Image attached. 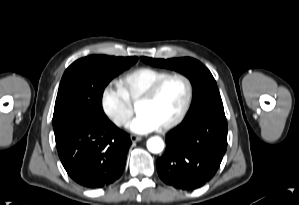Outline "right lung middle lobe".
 Masks as SVG:
<instances>
[{"label": "right lung middle lobe", "instance_id": "right-lung-middle-lobe-1", "mask_svg": "<svg viewBox=\"0 0 299 205\" xmlns=\"http://www.w3.org/2000/svg\"><path fill=\"white\" fill-rule=\"evenodd\" d=\"M134 63L123 57L91 55L71 64L61 79L55 102V135L82 119H107L101 105L103 91L116 75Z\"/></svg>", "mask_w": 299, "mask_h": 205}]
</instances>
